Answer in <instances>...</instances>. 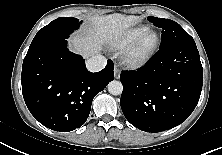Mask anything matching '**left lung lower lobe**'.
<instances>
[{"instance_id":"1","label":"left lung lower lobe","mask_w":222,"mask_h":155,"mask_svg":"<svg viewBox=\"0 0 222 155\" xmlns=\"http://www.w3.org/2000/svg\"><path fill=\"white\" fill-rule=\"evenodd\" d=\"M120 103L138 129L160 132L183 123L202 90L203 68L196 44H177L159 51L141 69L122 72Z\"/></svg>"}]
</instances>
